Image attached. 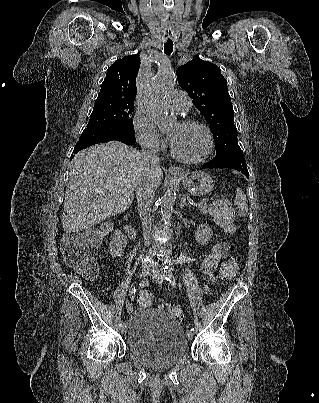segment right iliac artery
<instances>
[{
    "mask_svg": "<svg viewBox=\"0 0 319 403\" xmlns=\"http://www.w3.org/2000/svg\"><path fill=\"white\" fill-rule=\"evenodd\" d=\"M141 285L144 286V285H145V282H143ZM135 291H136L135 287H131V289H130V291H129V292H130L129 295H130L131 298L134 297ZM124 325H125L124 322H122L120 326L122 327V326H124Z\"/></svg>",
    "mask_w": 319,
    "mask_h": 403,
    "instance_id": "82829eb1",
    "label": "right iliac artery"
}]
</instances>
